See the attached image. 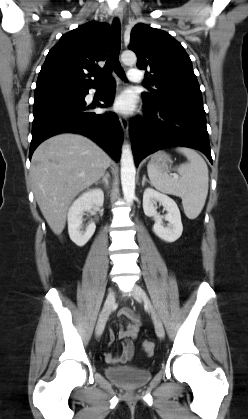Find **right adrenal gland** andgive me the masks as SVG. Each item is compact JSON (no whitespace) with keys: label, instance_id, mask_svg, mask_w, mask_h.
<instances>
[{"label":"right adrenal gland","instance_id":"2a0ac1e0","mask_svg":"<svg viewBox=\"0 0 248 419\" xmlns=\"http://www.w3.org/2000/svg\"><path fill=\"white\" fill-rule=\"evenodd\" d=\"M109 178H110V174L108 172H106L105 175L103 176L102 180L97 181L95 184L104 183L105 187L108 188Z\"/></svg>","mask_w":248,"mask_h":419}]
</instances>
